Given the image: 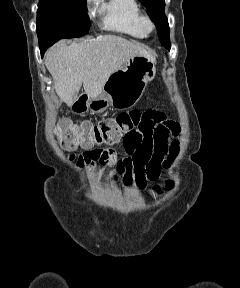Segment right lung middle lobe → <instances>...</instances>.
<instances>
[{
    "instance_id": "obj_1",
    "label": "right lung middle lobe",
    "mask_w": 240,
    "mask_h": 288,
    "mask_svg": "<svg viewBox=\"0 0 240 288\" xmlns=\"http://www.w3.org/2000/svg\"><path fill=\"white\" fill-rule=\"evenodd\" d=\"M86 0H40L37 11L39 46H51L62 38L87 34Z\"/></svg>"
}]
</instances>
